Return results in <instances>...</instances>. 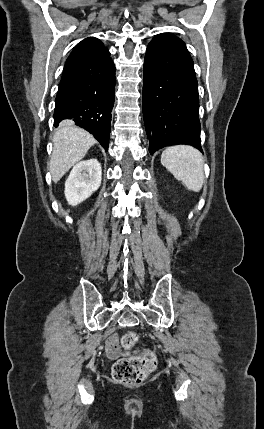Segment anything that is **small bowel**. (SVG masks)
<instances>
[{"mask_svg": "<svg viewBox=\"0 0 264 429\" xmlns=\"http://www.w3.org/2000/svg\"><path fill=\"white\" fill-rule=\"evenodd\" d=\"M107 355L114 359L120 355V348L118 345V336L116 334L110 335L106 340Z\"/></svg>", "mask_w": 264, "mask_h": 429, "instance_id": "obj_1", "label": "small bowel"}]
</instances>
